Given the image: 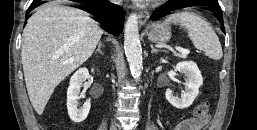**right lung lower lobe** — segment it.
<instances>
[{
  "label": "right lung lower lobe",
  "instance_id": "1",
  "mask_svg": "<svg viewBox=\"0 0 257 130\" xmlns=\"http://www.w3.org/2000/svg\"><path fill=\"white\" fill-rule=\"evenodd\" d=\"M102 3L106 5H103ZM41 4L43 3L34 0L28 8L27 14ZM86 6L87 10L85 11L92 14L94 16L93 19L101 23L103 29H105L107 32L112 33L116 36H118L120 32H122L124 22V10L121 7L111 4L110 2H108V0H98ZM27 14L26 17L28 16Z\"/></svg>",
  "mask_w": 257,
  "mask_h": 130
}]
</instances>
